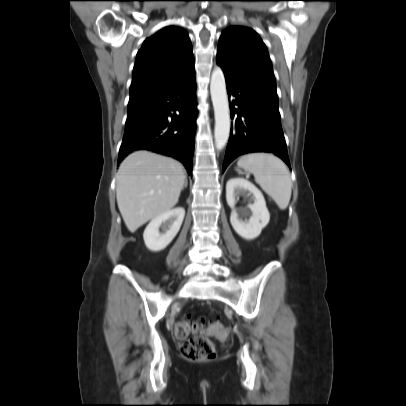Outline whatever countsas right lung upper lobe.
I'll return each mask as SVG.
<instances>
[{
    "instance_id": "obj_1",
    "label": "right lung upper lobe",
    "mask_w": 406,
    "mask_h": 406,
    "mask_svg": "<svg viewBox=\"0 0 406 406\" xmlns=\"http://www.w3.org/2000/svg\"><path fill=\"white\" fill-rule=\"evenodd\" d=\"M193 73V50L186 31L175 26L161 29L137 53L128 106L168 90Z\"/></svg>"
}]
</instances>
